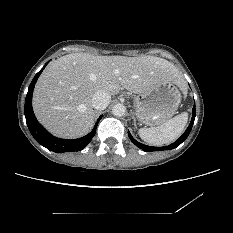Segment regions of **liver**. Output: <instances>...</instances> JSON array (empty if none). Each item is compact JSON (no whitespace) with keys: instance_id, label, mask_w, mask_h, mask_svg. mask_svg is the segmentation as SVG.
<instances>
[{"instance_id":"liver-1","label":"liver","mask_w":233,"mask_h":233,"mask_svg":"<svg viewBox=\"0 0 233 233\" xmlns=\"http://www.w3.org/2000/svg\"><path fill=\"white\" fill-rule=\"evenodd\" d=\"M174 82L183 87L179 70L154 56H95L73 53L49 64L39 77L33 94L37 119L52 134L79 138L94 125L91 100L97 91L110 95L123 88L143 94Z\"/></svg>"}]
</instances>
